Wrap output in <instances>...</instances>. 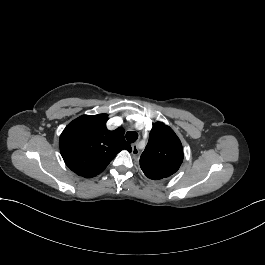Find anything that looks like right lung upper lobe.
<instances>
[{
  "label": "right lung upper lobe",
  "mask_w": 265,
  "mask_h": 265,
  "mask_svg": "<svg viewBox=\"0 0 265 265\" xmlns=\"http://www.w3.org/2000/svg\"><path fill=\"white\" fill-rule=\"evenodd\" d=\"M107 114L83 115L73 120L60 136V151L76 174L91 178L102 172L123 149L131 151L122 127L109 131Z\"/></svg>",
  "instance_id": "obj_1"
}]
</instances>
